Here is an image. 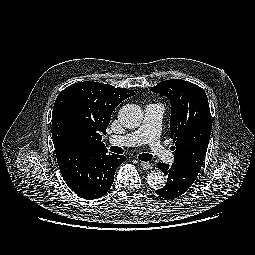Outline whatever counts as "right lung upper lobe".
Segmentation results:
<instances>
[{"instance_id":"obj_1","label":"right lung upper lobe","mask_w":255,"mask_h":255,"mask_svg":"<svg viewBox=\"0 0 255 255\" xmlns=\"http://www.w3.org/2000/svg\"><path fill=\"white\" fill-rule=\"evenodd\" d=\"M135 95L126 88L86 81L72 84L57 97L52 113V138L56 155L107 153L101 142L112 112Z\"/></svg>"}]
</instances>
